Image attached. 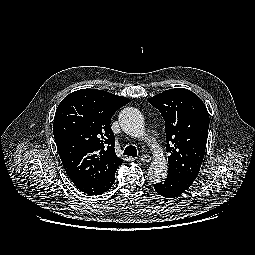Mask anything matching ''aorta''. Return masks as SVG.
<instances>
[{
  "instance_id": "aorta-1",
  "label": "aorta",
  "mask_w": 255,
  "mask_h": 255,
  "mask_svg": "<svg viewBox=\"0 0 255 255\" xmlns=\"http://www.w3.org/2000/svg\"><path fill=\"white\" fill-rule=\"evenodd\" d=\"M119 123L123 131L132 137H142L144 135L145 123L141 112L134 107L124 108L119 113ZM167 160L163 154H155V158L149 167V177L160 182L167 176Z\"/></svg>"
}]
</instances>
